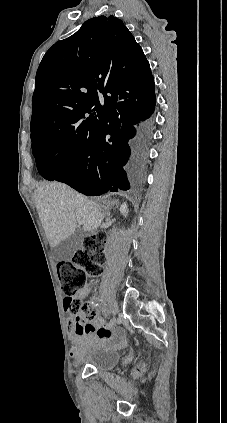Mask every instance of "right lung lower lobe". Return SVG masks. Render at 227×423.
Here are the masks:
<instances>
[{
    "label": "right lung lower lobe",
    "mask_w": 227,
    "mask_h": 423,
    "mask_svg": "<svg viewBox=\"0 0 227 423\" xmlns=\"http://www.w3.org/2000/svg\"><path fill=\"white\" fill-rule=\"evenodd\" d=\"M155 103L153 91L146 96H127L110 105L94 147L69 176L58 181L88 196L128 190L126 171L137 174L145 162L149 131L143 121L151 116Z\"/></svg>",
    "instance_id": "obj_1"
}]
</instances>
